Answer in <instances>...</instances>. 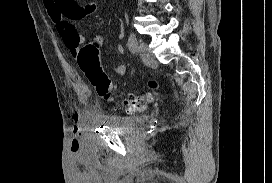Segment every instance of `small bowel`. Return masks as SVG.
Returning <instances> with one entry per match:
<instances>
[{"instance_id":"small-bowel-1","label":"small bowel","mask_w":272,"mask_h":183,"mask_svg":"<svg viewBox=\"0 0 272 183\" xmlns=\"http://www.w3.org/2000/svg\"><path fill=\"white\" fill-rule=\"evenodd\" d=\"M44 6L50 19L56 24L65 46L75 58L78 57L80 47L85 38L77 33L70 20L81 19L86 15L94 13L97 9L95 2H86L78 4L76 0H43ZM95 41L102 43V37L98 36ZM117 53L123 54L122 46L117 47ZM116 73L123 76L126 73V67L120 65L116 68Z\"/></svg>"}]
</instances>
